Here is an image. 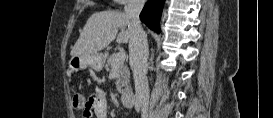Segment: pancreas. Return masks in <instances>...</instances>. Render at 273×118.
Returning a JSON list of instances; mask_svg holds the SVG:
<instances>
[{
  "label": "pancreas",
  "instance_id": "obj_1",
  "mask_svg": "<svg viewBox=\"0 0 273 118\" xmlns=\"http://www.w3.org/2000/svg\"><path fill=\"white\" fill-rule=\"evenodd\" d=\"M125 59H120L117 53H113L107 59L105 69L112 71L113 68L116 70V89L119 93L124 94L129 91L130 84V71L125 64Z\"/></svg>",
  "mask_w": 273,
  "mask_h": 118
}]
</instances>
